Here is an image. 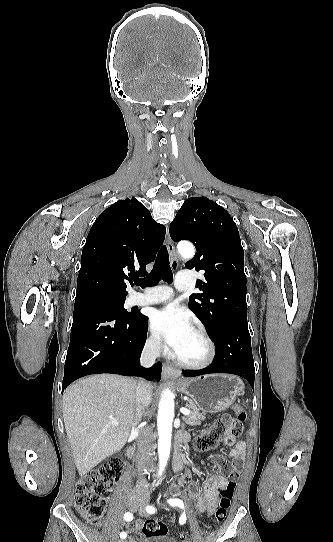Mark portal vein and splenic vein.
<instances>
[{"mask_svg":"<svg viewBox=\"0 0 333 542\" xmlns=\"http://www.w3.org/2000/svg\"><path fill=\"white\" fill-rule=\"evenodd\" d=\"M181 414H184V416H189L190 410H187V408H180ZM112 426H119L118 422H110Z\"/></svg>","mask_w":333,"mask_h":542,"instance_id":"18ae733b","label":"portal vein and splenic vein"}]
</instances>
